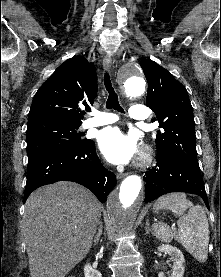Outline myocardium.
Wrapping results in <instances>:
<instances>
[{"instance_id":"obj_1","label":"myocardium","mask_w":221,"mask_h":277,"mask_svg":"<svg viewBox=\"0 0 221 277\" xmlns=\"http://www.w3.org/2000/svg\"><path fill=\"white\" fill-rule=\"evenodd\" d=\"M152 159L151 149L149 147H144L135 162V166L139 168L147 167L152 162Z\"/></svg>"}]
</instances>
